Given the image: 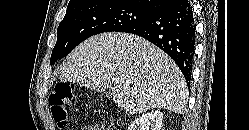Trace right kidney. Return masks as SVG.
Wrapping results in <instances>:
<instances>
[{"instance_id": "obj_1", "label": "right kidney", "mask_w": 249, "mask_h": 130, "mask_svg": "<svg viewBox=\"0 0 249 130\" xmlns=\"http://www.w3.org/2000/svg\"><path fill=\"white\" fill-rule=\"evenodd\" d=\"M163 114L159 110L143 114L129 126L128 130H161Z\"/></svg>"}]
</instances>
